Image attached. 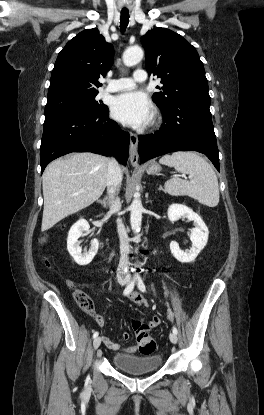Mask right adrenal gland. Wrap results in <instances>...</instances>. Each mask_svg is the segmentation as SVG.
I'll return each instance as SVG.
<instances>
[{
    "label": "right adrenal gland",
    "instance_id": "right-adrenal-gland-1",
    "mask_svg": "<svg viewBox=\"0 0 264 415\" xmlns=\"http://www.w3.org/2000/svg\"><path fill=\"white\" fill-rule=\"evenodd\" d=\"M98 202L102 204L104 208H107L108 206L107 198H104L103 200H98Z\"/></svg>",
    "mask_w": 264,
    "mask_h": 415
}]
</instances>
